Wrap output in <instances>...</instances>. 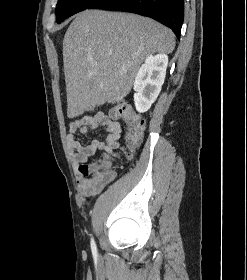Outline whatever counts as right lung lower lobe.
Returning <instances> with one entry per match:
<instances>
[{
  "label": "right lung lower lobe",
  "mask_w": 247,
  "mask_h": 280,
  "mask_svg": "<svg viewBox=\"0 0 247 280\" xmlns=\"http://www.w3.org/2000/svg\"><path fill=\"white\" fill-rule=\"evenodd\" d=\"M89 8L125 11L151 17L171 28L180 38L184 0H98Z\"/></svg>",
  "instance_id": "1"
}]
</instances>
